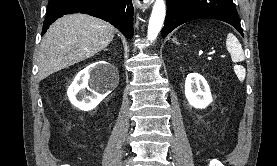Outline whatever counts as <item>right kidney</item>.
<instances>
[{"instance_id": "right-kidney-1", "label": "right kidney", "mask_w": 277, "mask_h": 166, "mask_svg": "<svg viewBox=\"0 0 277 166\" xmlns=\"http://www.w3.org/2000/svg\"><path fill=\"white\" fill-rule=\"evenodd\" d=\"M107 67H109L107 62L100 61L96 66L95 64L90 65L77 74L67 90L68 98L75 107L84 111L94 109L110 93L109 89L103 88H113L116 86L117 81L115 77H113L110 82L108 81V75H103L100 77L101 87H96L99 91H92L91 95L86 93L85 89L89 88V81L91 78H93L100 69H106Z\"/></svg>"}]
</instances>
